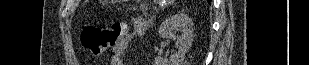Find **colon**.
Returning a JSON list of instances; mask_svg holds the SVG:
<instances>
[{
	"instance_id": "colon-1",
	"label": "colon",
	"mask_w": 309,
	"mask_h": 65,
	"mask_svg": "<svg viewBox=\"0 0 309 65\" xmlns=\"http://www.w3.org/2000/svg\"><path fill=\"white\" fill-rule=\"evenodd\" d=\"M125 32L126 26L122 23L88 26L82 30L80 40L83 48L96 56L115 45Z\"/></svg>"
}]
</instances>
